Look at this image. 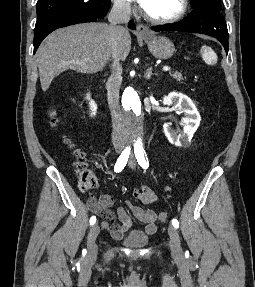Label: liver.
<instances>
[{"mask_svg": "<svg viewBox=\"0 0 255 287\" xmlns=\"http://www.w3.org/2000/svg\"><path fill=\"white\" fill-rule=\"evenodd\" d=\"M110 40L107 24H77L50 34L36 54L43 92H47L55 76L65 70H76L81 74L101 72L111 58ZM119 48L121 60H126L131 50L127 30L120 38Z\"/></svg>", "mask_w": 255, "mask_h": 287, "instance_id": "6515ba94", "label": "liver"}]
</instances>
